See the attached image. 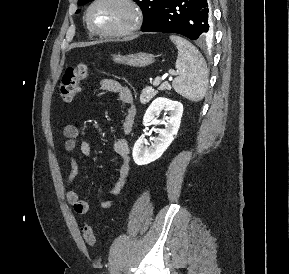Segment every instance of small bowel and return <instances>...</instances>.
<instances>
[{"label":"small bowel","mask_w":289,"mask_h":274,"mask_svg":"<svg viewBox=\"0 0 289 274\" xmlns=\"http://www.w3.org/2000/svg\"><path fill=\"white\" fill-rule=\"evenodd\" d=\"M100 88L111 93L118 95L119 100L128 105L127 114L122 123V130L125 135H127L133 126L135 108H134V96L131 89L122 84L119 81L113 79H103L100 81ZM63 136L65 137L64 152L70 163V172L68 175V184L72 185L78 175V163L74 156L75 150L78 147L80 153L83 156L89 157L92 155V146L87 141H78L79 129L74 124H67L62 130ZM114 151L118 155L121 165L117 178L114 185L109 190L108 194L110 197L117 196L120 194L125 186V183L129 174V160H130V150L128 140L125 137L118 138L114 143ZM67 202L73 206L74 211L78 215H85L89 211V205L86 200L80 199L78 193L74 189H70L66 194ZM114 205V200L112 198L100 200L98 203L99 210H107Z\"/></svg>","instance_id":"obj_1"}]
</instances>
